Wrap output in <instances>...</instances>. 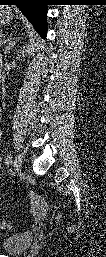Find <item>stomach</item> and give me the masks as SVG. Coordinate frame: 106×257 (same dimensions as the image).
<instances>
[{"instance_id":"stomach-1","label":"stomach","mask_w":106,"mask_h":257,"mask_svg":"<svg viewBox=\"0 0 106 257\" xmlns=\"http://www.w3.org/2000/svg\"><path fill=\"white\" fill-rule=\"evenodd\" d=\"M14 15L12 13V10L10 7L2 6L1 12H0V24L5 25L10 23V21L13 19Z\"/></svg>"}]
</instances>
